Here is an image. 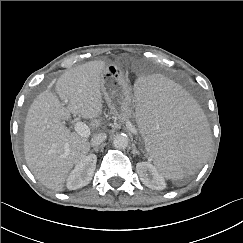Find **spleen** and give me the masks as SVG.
<instances>
[{"mask_svg": "<svg viewBox=\"0 0 243 243\" xmlns=\"http://www.w3.org/2000/svg\"><path fill=\"white\" fill-rule=\"evenodd\" d=\"M133 114L139 140L157 172L179 180L208 151L204 109L169 77L154 73L133 86Z\"/></svg>", "mask_w": 243, "mask_h": 243, "instance_id": "3e777b00", "label": "spleen"}]
</instances>
